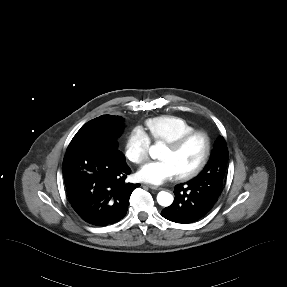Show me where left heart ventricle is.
<instances>
[{
  "label": "left heart ventricle",
  "mask_w": 287,
  "mask_h": 287,
  "mask_svg": "<svg viewBox=\"0 0 287 287\" xmlns=\"http://www.w3.org/2000/svg\"><path fill=\"white\" fill-rule=\"evenodd\" d=\"M203 151L204 141L201 137H196L178 152L166 147L160 159L171 162L179 175L193 168L200 161Z\"/></svg>",
  "instance_id": "1"
}]
</instances>
